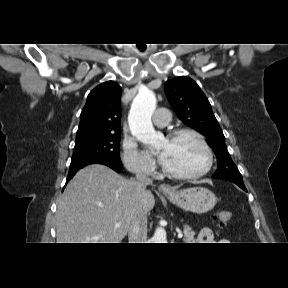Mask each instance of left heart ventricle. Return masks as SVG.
Masks as SVG:
<instances>
[{"label":"left heart ventricle","instance_id":"b2bd125f","mask_svg":"<svg viewBox=\"0 0 288 288\" xmlns=\"http://www.w3.org/2000/svg\"><path fill=\"white\" fill-rule=\"evenodd\" d=\"M163 164L180 173H195L207 163V156L200 143L192 136H182L175 140L165 139L159 146Z\"/></svg>","mask_w":288,"mask_h":288}]
</instances>
